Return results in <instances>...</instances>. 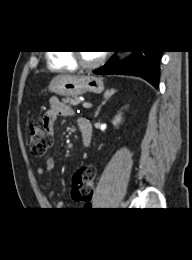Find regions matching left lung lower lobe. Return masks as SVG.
Returning <instances> with one entry per match:
<instances>
[{"instance_id":"0a47b994","label":"left lung lower lobe","mask_w":192,"mask_h":260,"mask_svg":"<svg viewBox=\"0 0 192 260\" xmlns=\"http://www.w3.org/2000/svg\"><path fill=\"white\" fill-rule=\"evenodd\" d=\"M161 53L162 51L158 50L134 51L126 60L122 61H118L114 55L94 73L139 76L158 88Z\"/></svg>"}]
</instances>
